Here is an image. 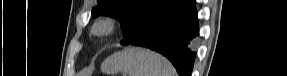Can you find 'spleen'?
I'll return each mask as SVG.
<instances>
[{"instance_id":"spleen-1","label":"spleen","mask_w":287,"mask_h":76,"mask_svg":"<svg viewBox=\"0 0 287 76\" xmlns=\"http://www.w3.org/2000/svg\"><path fill=\"white\" fill-rule=\"evenodd\" d=\"M102 72L123 71L128 76H176L172 64L162 55L140 47H129L110 55L101 66Z\"/></svg>"}]
</instances>
